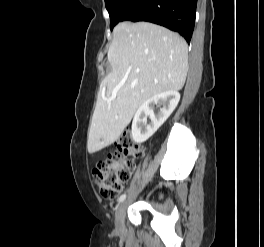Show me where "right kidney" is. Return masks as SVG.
Here are the masks:
<instances>
[{
  "label": "right kidney",
  "instance_id": "1",
  "mask_svg": "<svg viewBox=\"0 0 264 247\" xmlns=\"http://www.w3.org/2000/svg\"><path fill=\"white\" fill-rule=\"evenodd\" d=\"M180 100L177 91H165L145 101L136 111L132 122V138L136 143L148 140L159 127L168 119ZM161 105L160 111L154 113V105ZM147 117L151 122L146 123Z\"/></svg>",
  "mask_w": 264,
  "mask_h": 247
}]
</instances>
